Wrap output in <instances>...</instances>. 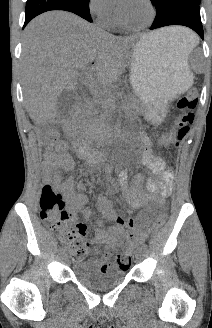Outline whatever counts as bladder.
Segmentation results:
<instances>
[{
	"mask_svg": "<svg viewBox=\"0 0 212 328\" xmlns=\"http://www.w3.org/2000/svg\"><path fill=\"white\" fill-rule=\"evenodd\" d=\"M75 277L86 287L92 290H107L120 284L126 277L124 270L100 272L91 260H77L73 264Z\"/></svg>",
	"mask_w": 212,
	"mask_h": 328,
	"instance_id": "obj_1",
	"label": "bladder"
}]
</instances>
